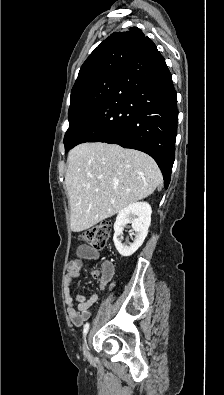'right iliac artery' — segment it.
I'll list each match as a JSON object with an SVG mask.
<instances>
[{
    "instance_id": "1",
    "label": "right iliac artery",
    "mask_w": 224,
    "mask_h": 395,
    "mask_svg": "<svg viewBox=\"0 0 224 395\" xmlns=\"http://www.w3.org/2000/svg\"><path fill=\"white\" fill-rule=\"evenodd\" d=\"M88 330H89V323H86L84 325V329H83V337L86 336V334L88 333Z\"/></svg>"
}]
</instances>
